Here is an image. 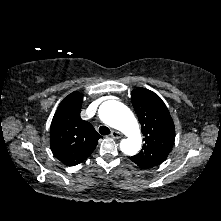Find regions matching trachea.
I'll return each mask as SVG.
<instances>
[{
	"label": "trachea",
	"mask_w": 221,
	"mask_h": 221,
	"mask_svg": "<svg viewBox=\"0 0 221 221\" xmlns=\"http://www.w3.org/2000/svg\"><path fill=\"white\" fill-rule=\"evenodd\" d=\"M99 132L101 135H108L110 134V129L106 126H100Z\"/></svg>",
	"instance_id": "obj_1"
}]
</instances>
